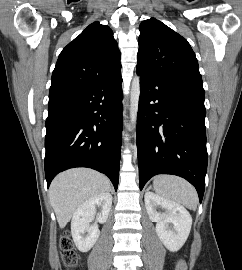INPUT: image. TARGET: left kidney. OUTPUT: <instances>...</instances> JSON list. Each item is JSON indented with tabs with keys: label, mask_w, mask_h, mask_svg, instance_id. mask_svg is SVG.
Segmentation results:
<instances>
[{
	"label": "left kidney",
	"mask_w": 242,
	"mask_h": 270,
	"mask_svg": "<svg viewBox=\"0 0 242 270\" xmlns=\"http://www.w3.org/2000/svg\"><path fill=\"white\" fill-rule=\"evenodd\" d=\"M144 200L150 220L156 222L159 239L169 251H178L186 242L191 230L190 213L182 205L150 191H146ZM159 208L166 209V212L157 211Z\"/></svg>",
	"instance_id": "left-kidney-1"
}]
</instances>
